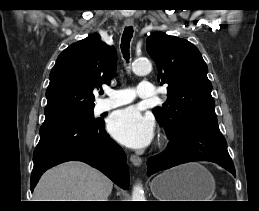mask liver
Instances as JSON below:
<instances>
[{"mask_svg": "<svg viewBox=\"0 0 259 211\" xmlns=\"http://www.w3.org/2000/svg\"><path fill=\"white\" fill-rule=\"evenodd\" d=\"M113 182L83 162H66L46 171L33 201H108Z\"/></svg>", "mask_w": 259, "mask_h": 211, "instance_id": "6515ba94", "label": "liver"}]
</instances>
